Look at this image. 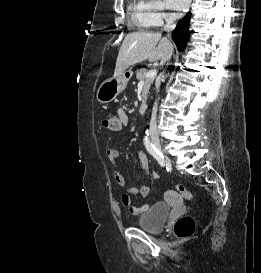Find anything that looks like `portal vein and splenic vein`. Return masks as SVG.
Instances as JSON below:
<instances>
[{"mask_svg":"<svg viewBox=\"0 0 261 273\" xmlns=\"http://www.w3.org/2000/svg\"><path fill=\"white\" fill-rule=\"evenodd\" d=\"M156 74H157V71L155 69H151L145 74V78L156 77Z\"/></svg>","mask_w":261,"mask_h":273,"instance_id":"18ae733b","label":"portal vein and splenic vein"}]
</instances>
